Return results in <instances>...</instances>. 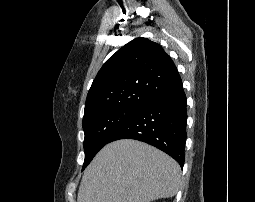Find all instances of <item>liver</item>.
<instances>
[{"label":"liver","instance_id":"obj_1","mask_svg":"<svg viewBox=\"0 0 255 202\" xmlns=\"http://www.w3.org/2000/svg\"><path fill=\"white\" fill-rule=\"evenodd\" d=\"M181 169L169 155L144 142L107 144L84 172L77 202H151L179 190Z\"/></svg>","mask_w":255,"mask_h":202}]
</instances>
